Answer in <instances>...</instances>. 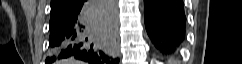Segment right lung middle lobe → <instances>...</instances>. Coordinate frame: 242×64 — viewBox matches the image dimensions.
<instances>
[{
  "instance_id": "1",
  "label": "right lung middle lobe",
  "mask_w": 242,
  "mask_h": 64,
  "mask_svg": "<svg viewBox=\"0 0 242 64\" xmlns=\"http://www.w3.org/2000/svg\"><path fill=\"white\" fill-rule=\"evenodd\" d=\"M62 14H51V17H50V23H53L57 18L61 17Z\"/></svg>"
}]
</instances>
